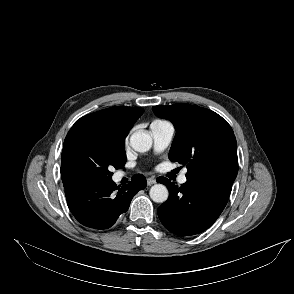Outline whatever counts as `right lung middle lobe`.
Returning <instances> with one entry per match:
<instances>
[{"instance_id":"right-lung-middle-lobe-1","label":"right lung middle lobe","mask_w":294,"mask_h":294,"mask_svg":"<svg viewBox=\"0 0 294 294\" xmlns=\"http://www.w3.org/2000/svg\"><path fill=\"white\" fill-rule=\"evenodd\" d=\"M125 141L99 135H79L63 147L64 188L85 186L112 178V167L125 165Z\"/></svg>"}]
</instances>
